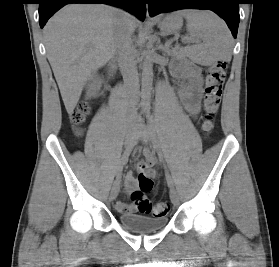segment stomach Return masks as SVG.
Instances as JSON below:
<instances>
[{
	"label": "stomach",
	"mask_w": 279,
	"mask_h": 267,
	"mask_svg": "<svg viewBox=\"0 0 279 267\" xmlns=\"http://www.w3.org/2000/svg\"><path fill=\"white\" fill-rule=\"evenodd\" d=\"M183 25L182 18L176 14H169L158 21V26L164 33H173Z\"/></svg>",
	"instance_id": "0dacf381"
}]
</instances>
